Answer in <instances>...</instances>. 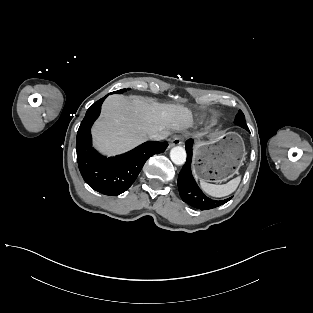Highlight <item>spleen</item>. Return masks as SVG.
I'll list each match as a JSON object with an SVG mask.
<instances>
[{"label": "spleen", "instance_id": "spleen-1", "mask_svg": "<svg viewBox=\"0 0 313 313\" xmlns=\"http://www.w3.org/2000/svg\"><path fill=\"white\" fill-rule=\"evenodd\" d=\"M241 177L238 176L226 184L216 185L200 180L201 189L208 195L213 197H224L233 193L240 183Z\"/></svg>", "mask_w": 313, "mask_h": 313}]
</instances>
